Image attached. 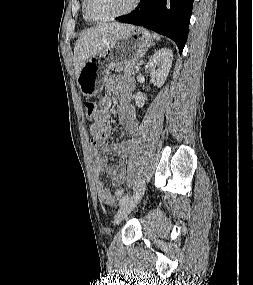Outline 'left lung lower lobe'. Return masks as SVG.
Masks as SVG:
<instances>
[{
  "mask_svg": "<svg viewBox=\"0 0 253 285\" xmlns=\"http://www.w3.org/2000/svg\"><path fill=\"white\" fill-rule=\"evenodd\" d=\"M194 0H145L119 22L144 26L169 37L183 51L189 32Z\"/></svg>",
  "mask_w": 253,
  "mask_h": 285,
  "instance_id": "left-lung-lower-lobe-1",
  "label": "left lung lower lobe"
}]
</instances>
